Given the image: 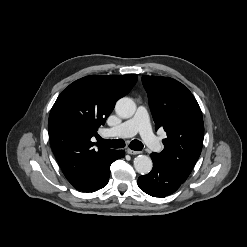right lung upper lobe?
<instances>
[{"label": "right lung upper lobe", "instance_id": "obj_1", "mask_svg": "<svg viewBox=\"0 0 247 247\" xmlns=\"http://www.w3.org/2000/svg\"><path fill=\"white\" fill-rule=\"evenodd\" d=\"M136 81L135 74L86 76L70 84L54 103L48 121L52 150L77 190L95 181L111 159L115 150H95L90 139Z\"/></svg>", "mask_w": 247, "mask_h": 247}]
</instances>
